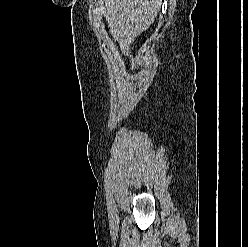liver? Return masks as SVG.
<instances>
[{"mask_svg":"<svg viewBox=\"0 0 248 247\" xmlns=\"http://www.w3.org/2000/svg\"><path fill=\"white\" fill-rule=\"evenodd\" d=\"M160 5V0H105L104 17L109 33L119 42L123 54H128L134 37L154 22Z\"/></svg>","mask_w":248,"mask_h":247,"instance_id":"1","label":"liver"}]
</instances>
